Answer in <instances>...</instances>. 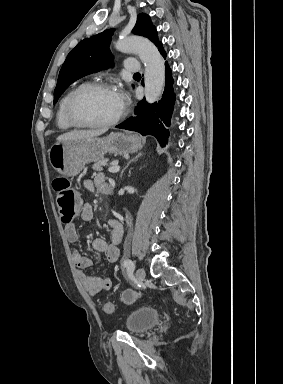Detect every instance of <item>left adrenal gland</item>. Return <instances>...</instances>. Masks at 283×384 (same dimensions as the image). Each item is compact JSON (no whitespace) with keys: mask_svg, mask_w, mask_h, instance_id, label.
Returning a JSON list of instances; mask_svg holds the SVG:
<instances>
[{"mask_svg":"<svg viewBox=\"0 0 283 384\" xmlns=\"http://www.w3.org/2000/svg\"><path fill=\"white\" fill-rule=\"evenodd\" d=\"M140 156H142V152H139L138 156H136V158H133V160H130V162H128L127 166H125V168H123L121 174H120V178H122L126 168H128V166H130L131 162H134V160H137V158H140Z\"/></svg>","mask_w":283,"mask_h":384,"instance_id":"1","label":"left adrenal gland"}]
</instances>
